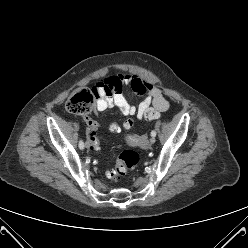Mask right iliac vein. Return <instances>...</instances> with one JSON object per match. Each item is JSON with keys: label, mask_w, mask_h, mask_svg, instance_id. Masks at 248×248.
Segmentation results:
<instances>
[{"label": "right iliac vein", "mask_w": 248, "mask_h": 248, "mask_svg": "<svg viewBox=\"0 0 248 248\" xmlns=\"http://www.w3.org/2000/svg\"><path fill=\"white\" fill-rule=\"evenodd\" d=\"M86 148L89 149V144H88V142L86 143Z\"/></svg>", "instance_id": "obj_1"}]
</instances>
